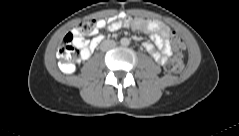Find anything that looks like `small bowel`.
I'll return each mask as SVG.
<instances>
[{
  "instance_id": "obj_1",
  "label": "small bowel",
  "mask_w": 239,
  "mask_h": 136,
  "mask_svg": "<svg viewBox=\"0 0 239 136\" xmlns=\"http://www.w3.org/2000/svg\"><path fill=\"white\" fill-rule=\"evenodd\" d=\"M125 26H131L135 30L148 34L153 44L150 42H145L143 44L145 50L158 64L164 65L166 63L168 58L172 55L169 42L171 29L168 25L161 21L148 20L144 18H120L110 23H107L103 19H99L97 20L96 30L93 33L94 37L91 40L79 36V34L74 31L75 42L81 49V59H88L101 42L102 35L99 34V30L107 28L109 31H117Z\"/></svg>"
}]
</instances>
